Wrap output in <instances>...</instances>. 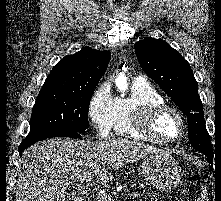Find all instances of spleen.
Listing matches in <instances>:
<instances>
[{
  "label": "spleen",
  "mask_w": 221,
  "mask_h": 201,
  "mask_svg": "<svg viewBox=\"0 0 221 201\" xmlns=\"http://www.w3.org/2000/svg\"><path fill=\"white\" fill-rule=\"evenodd\" d=\"M197 201H208V194L205 190V188L202 189L201 195Z\"/></svg>",
  "instance_id": "1"
}]
</instances>
